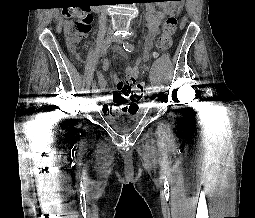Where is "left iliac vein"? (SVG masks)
Masks as SVG:
<instances>
[{"instance_id":"obj_1","label":"left iliac vein","mask_w":255,"mask_h":218,"mask_svg":"<svg viewBox=\"0 0 255 218\" xmlns=\"http://www.w3.org/2000/svg\"><path fill=\"white\" fill-rule=\"evenodd\" d=\"M113 41L118 43V44H122L123 43V40L121 37H114L113 38ZM150 93L146 92V95H149Z\"/></svg>"}]
</instances>
